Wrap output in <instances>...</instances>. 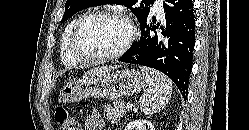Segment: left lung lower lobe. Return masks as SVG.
I'll return each mask as SVG.
<instances>
[{
    "mask_svg": "<svg viewBox=\"0 0 249 130\" xmlns=\"http://www.w3.org/2000/svg\"><path fill=\"white\" fill-rule=\"evenodd\" d=\"M163 7L165 25L156 24V18L149 16L140 24V41L119 61L163 72L186 99L195 43L193 3L191 0H165Z\"/></svg>",
    "mask_w": 249,
    "mask_h": 130,
    "instance_id": "0a47b994",
    "label": "left lung lower lobe"
}]
</instances>
